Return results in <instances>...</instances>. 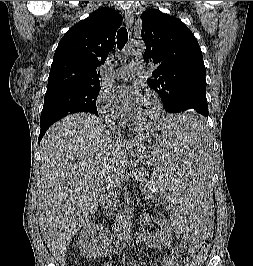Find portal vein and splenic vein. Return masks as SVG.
Here are the masks:
<instances>
[{
	"label": "portal vein and splenic vein",
	"mask_w": 253,
	"mask_h": 266,
	"mask_svg": "<svg viewBox=\"0 0 253 266\" xmlns=\"http://www.w3.org/2000/svg\"><path fill=\"white\" fill-rule=\"evenodd\" d=\"M138 174H139L140 176L143 175L142 172H139ZM142 193H143V192H142ZM146 193H148V190H147ZM150 197H151V195H150Z\"/></svg>",
	"instance_id": "1"
}]
</instances>
